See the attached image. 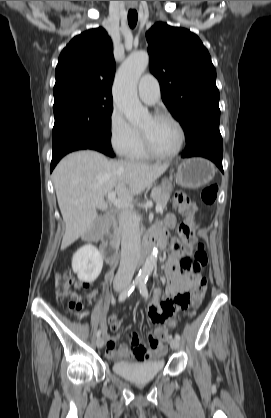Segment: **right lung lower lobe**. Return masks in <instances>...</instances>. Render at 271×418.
Returning <instances> with one entry per match:
<instances>
[{
  "instance_id": "obj_1",
  "label": "right lung lower lobe",
  "mask_w": 271,
  "mask_h": 418,
  "mask_svg": "<svg viewBox=\"0 0 271 418\" xmlns=\"http://www.w3.org/2000/svg\"><path fill=\"white\" fill-rule=\"evenodd\" d=\"M52 149L51 172L63 156L76 150L93 149L114 157L110 144V134L102 130H92L55 140L52 143Z\"/></svg>"
}]
</instances>
